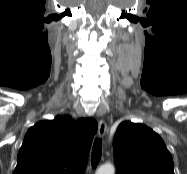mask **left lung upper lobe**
Segmentation results:
<instances>
[{
    "instance_id": "5c2ea615",
    "label": "left lung upper lobe",
    "mask_w": 187,
    "mask_h": 174,
    "mask_svg": "<svg viewBox=\"0 0 187 174\" xmlns=\"http://www.w3.org/2000/svg\"><path fill=\"white\" fill-rule=\"evenodd\" d=\"M116 174H174L164 141L143 124L122 122L113 140Z\"/></svg>"
}]
</instances>
